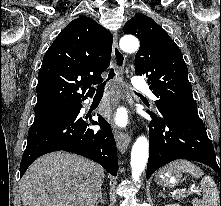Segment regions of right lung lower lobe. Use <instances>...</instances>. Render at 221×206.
<instances>
[{"mask_svg": "<svg viewBox=\"0 0 221 206\" xmlns=\"http://www.w3.org/2000/svg\"><path fill=\"white\" fill-rule=\"evenodd\" d=\"M81 103L72 113L48 116L34 120L28 133V142L20 164V177L38 157L59 150L76 153L102 165L115 175L118 169L116 142L110 125L98 115V122L78 118ZM90 125H100L92 130Z\"/></svg>", "mask_w": 221, "mask_h": 206, "instance_id": "1", "label": "right lung lower lobe"}]
</instances>
